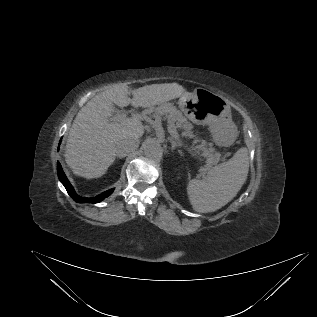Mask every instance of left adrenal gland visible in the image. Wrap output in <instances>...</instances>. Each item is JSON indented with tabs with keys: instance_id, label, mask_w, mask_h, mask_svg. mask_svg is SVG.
<instances>
[{
	"instance_id": "a2214340",
	"label": "left adrenal gland",
	"mask_w": 317,
	"mask_h": 317,
	"mask_svg": "<svg viewBox=\"0 0 317 317\" xmlns=\"http://www.w3.org/2000/svg\"><path fill=\"white\" fill-rule=\"evenodd\" d=\"M169 140H170V143L172 145V147H171L172 150H175L176 148H178L179 145L175 140H173L172 138H169ZM178 151L181 152L179 149H178Z\"/></svg>"
}]
</instances>
